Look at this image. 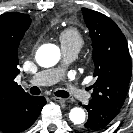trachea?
<instances>
[{
    "label": "trachea",
    "instance_id": "1",
    "mask_svg": "<svg viewBox=\"0 0 133 133\" xmlns=\"http://www.w3.org/2000/svg\"><path fill=\"white\" fill-rule=\"evenodd\" d=\"M40 92L41 91L37 86H33L30 88V93L33 95H39ZM54 94L58 97H63V98L69 97V93H67L66 91H63V90H58Z\"/></svg>",
    "mask_w": 133,
    "mask_h": 133
}]
</instances>
